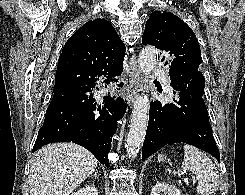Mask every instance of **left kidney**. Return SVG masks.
I'll use <instances>...</instances> for the list:
<instances>
[{"instance_id": "obj_1", "label": "left kidney", "mask_w": 245, "mask_h": 195, "mask_svg": "<svg viewBox=\"0 0 245 195\" xmlns=\"http://www.w3.org/2000/svg\"><path fill=\"white\" fill-rule=\"evenodd\" d=\"M151 195H181L180 190L164 182H157L152 190Z\"/></svg>"}]
</instances>
